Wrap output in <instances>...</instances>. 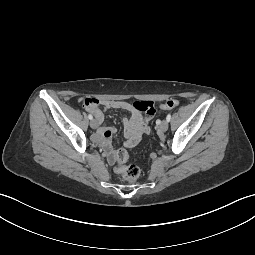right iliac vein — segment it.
Here are the masks:
<instances>
[{"mask_svg":"<svg viewBox=\"0 0 255 255\" xmlns=\"http://www.w3.org/2000/svg\"><path fill=\"white\" fill-rule=\"evenodd\" d=\"M90 126L91 128L96 129L98 127V122L95 119H92L90 121Z\"/></svg>","mask_w":255,"mask_h":255,"instance_id":"1","label":"right iliac vein"}]
</instances>
